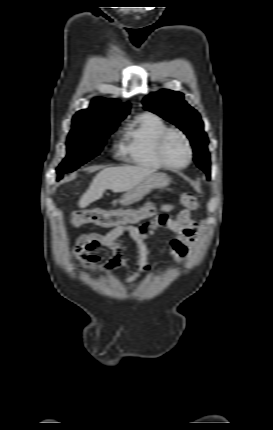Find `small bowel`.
Here are the masks:
<instances>
[{
  "instance_id": "c3829d8e",
  "label": "small bowel",
  "mask_w": 273,
  "mask_h": 430,
  "mask_svg": "<svg viewBox=\"0 0 273 430\" xmlns=\"http://www.w3.org/2000/svg\"><path fill=\"white\" fill-rule=\"evenodd\" d=\"M173 205L163 204L160 210L170 212ZM159 228L169 229L174 236L169 242L168 251L178 264H182L186 259L192 243L198 237V227L191 219L188 211H181L177 215H161L157 219L142 225L134 227L131 225H119L104 234H85L78 240V245L87 247L88 252H81L77 262L85 265H91L98 270H111L119 266L125 259V249L118 242V239L128 234L135 242L137 249L136 270L127 276L125 283L136 281L143 272L150 268L151 250L148 241L155 237L156 230ZM105 247L111 250L112 257L104 265H98V258L89 253L97 247Z\"/></svg>"
}]
</instances>
